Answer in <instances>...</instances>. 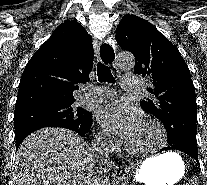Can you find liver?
Returning a JSON list of instances; mask_svg holds the SVG:
<instances>
[{
  "label": "liver",
  "mask_w": 207,
  "mask_h": 185,
  "mask_svg": "<svg viewBox=\"0 0 207 185\" xmlns=\"http://www.w3.org/2000/svg\"><path fill=\"white\" fill-rule=\"evenodd\" d=\"M96 155L80 135L46 127L21 143L13 171V185H93Z\"/></svg>",
  "instance_id": "liver-1"
}]
</instances>
